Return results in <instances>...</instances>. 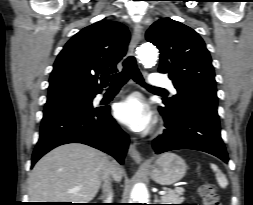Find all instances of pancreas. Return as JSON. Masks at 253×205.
<instances>
[{
	"label": "pancreas",
	"mask_w": 253,
	"mask_h": 205,
	"mask_svg": "<svg viewBox=\"0 0 253 205\" xmlns=\"http://www.w3.org/2000/svg\"><path fill=\"white\" fill-rule=\"evenodd\" d=\"M167 194L161 196V202L164 204H181L184 201L182 197L184 190L177 188L176 190L165 189Z\"/></svg>",
	"instance_id": "obj_1"
}]
</instances>
